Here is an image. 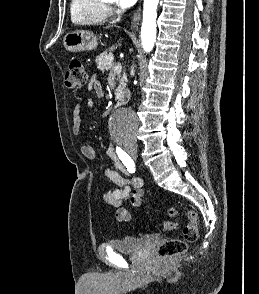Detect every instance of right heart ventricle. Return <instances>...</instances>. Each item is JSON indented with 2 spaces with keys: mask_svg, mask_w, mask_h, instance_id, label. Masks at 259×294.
<instances>
[{
  "mask_svg": "<svg viewBox=\"0 0 259 294\" xmlns=\"http://www.w3.org/2000/svg\"><path fill=\"white\" fill-rule=\"evenodd\" d=\"M71 20L77 25H95L103 23L108 10L103 0H72Z\"/></svg>",
  "mask_w": 259,
  "mask_h": 294,
  "instance_id": "e07e8e85",
  "label": "right heart ventricle"
}]
</instances>
